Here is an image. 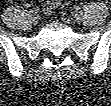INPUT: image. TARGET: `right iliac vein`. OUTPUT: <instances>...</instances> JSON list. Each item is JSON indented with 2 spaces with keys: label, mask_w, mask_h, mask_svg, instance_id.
Returning <instances> with one entry per match:
<instances>
[{
  "label": "right iliac vein",
  "mask_w": 111,
  "mask_h": 106,
  "mask_svg": "<svg viewBox=\"0 0 111 106\" xmlns=\"http://www.w3.org/2000/svg\"><path fill=\"white\" fill-rule=\"evenodd\" d=\"M31 20L33 22V24H38L39 23V20H40V17L38 14H34L32 17H31Z\"/></svg>",
  "instance_id": "right-iliac-vein-1"
}]
</instances>
